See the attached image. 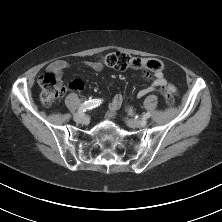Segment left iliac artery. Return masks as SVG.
I'll return each mask as SVG.
<instances>
[{
  "mask_svg": "<svg viewBox=\"0 0 222 222\" xmlns=\"http://www.w3.org/2000/svg\"><path fill=\"white\" fill-rule=\"evenodd\" d=\"M150 116H151L150 112H147V113L144 114L143 118H144V119H147V118H149Z\"/></svg>",
  "mask_w": 222,
  "mask_h": 222,
  "instance_id": "left-iliac-artery-1",
  "label": "left iliac artery"
}]
</instances>
